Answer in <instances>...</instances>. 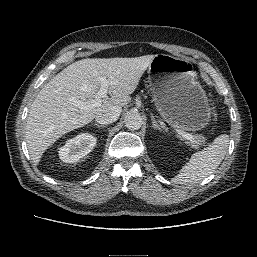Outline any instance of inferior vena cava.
Listing matches in <instances>:
<instances>
[{"mask_svg":"<svg viewBox=\"0 0 257 257\" xmlns=\"http://www.w3.org/2000/svg\"><path fill=\"white\" fill-rule=\"evenodd\" d=\"M121 111L119 106H111L99 111L95 119L99 124H111L119 118Z\"/></svg>","mask_w":257,"mask_h":257,"instance_id":"1","label":"inferior vena cava"}]
</instances>
